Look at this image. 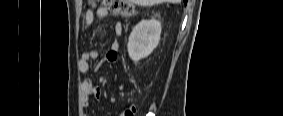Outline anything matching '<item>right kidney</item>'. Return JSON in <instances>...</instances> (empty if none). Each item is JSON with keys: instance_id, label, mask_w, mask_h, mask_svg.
Returning <instances> with one entry per match:
<instances>
[{"instance_id": "obj_1", "label": "right kidney", "mask_w": 283, "mask_h": 116, "mask_svg": "<svg viewBox=\"0 0 283 116\" xmlns=\"http://www.w3.org/2000/svg\"><path fill=\"white\" fill-rule=\"evenodd\" d=\"M161 24L156 19L140 21L132 30L128 41L130 58L137 62L148 57L160 41Z\"/></svg>"}]
</instances>
